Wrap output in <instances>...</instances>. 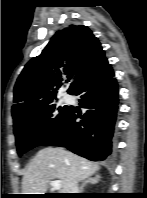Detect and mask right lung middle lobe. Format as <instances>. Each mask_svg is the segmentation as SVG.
Instances as JSON below:
<instances>
[{"label": "right lung middle lobe", "mask_w": 147, "mask_h": 198, "mask_svg": "<svg viewBox=\"0 0 147 198\" xmlns=\"http://www.w3.org/2000/svg\"><path fill=\"white\" fill-rule=\"evenodd\" d=\"M71 108L57 106L55 102L40 107L14 122L18 155L41 145L65 123Z\"/></svg>", "instance_id": "1"}]
</instances>
